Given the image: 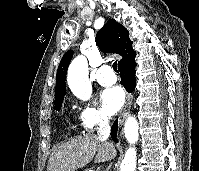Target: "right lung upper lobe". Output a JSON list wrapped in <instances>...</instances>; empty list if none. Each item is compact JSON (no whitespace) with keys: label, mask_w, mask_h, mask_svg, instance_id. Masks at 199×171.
<instances>
[{"label":"right lung upper lobe","mask_w":199,"mask_h":171,"mask_svg":"<svg viewBox=\"0 0 199 171\" xmlns=\"http://www.w3.org/2000/svg\"><path fill=\"white\" fill-rule=\"evenodd\" d=\"M96 43L103 52L121 55L122 59L118 62V65L135 58L136 53L132 49V41L129 39L128 30L113 19L108 20L97 32ZM72 56L73 51L66 52L59 64L55 87V101L64 99L66 94L65 77Z\"/></svg>","instance_id":"right-lung-upper-lobe-1"}]
</instances>
